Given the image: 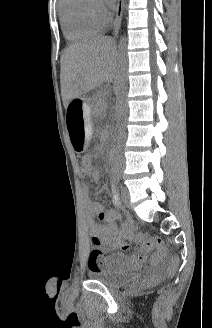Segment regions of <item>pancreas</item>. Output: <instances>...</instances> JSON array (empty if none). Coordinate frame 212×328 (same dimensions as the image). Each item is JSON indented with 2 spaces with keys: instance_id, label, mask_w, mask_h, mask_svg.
Here are the masks:
<instances>
[{
  "instance_id": "1",
  "label": "pancreas",
  "mask_w": 212,
  "mask_h": 328,
  "mask_svg": "<svg viewBox=\"0 0 212 328\" xmlns=\"http://www.w3.org/2000/svg\"><path fill=\"white\" fill-rule=\"evenodd\" d=\"M107 108L106 98L104 92H99L95 98V112L105 114Z\"/></svg>"
}]
</instances>
